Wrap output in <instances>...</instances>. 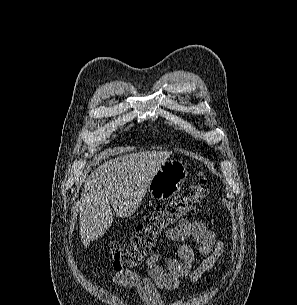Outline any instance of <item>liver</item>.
I'll list each match as a JSON object with an SVG mask.
<instances>
[{"label":"liver","mask_w":297,"mask_h":305,"mask_svg":"<svg viewBox=\"0 0 297 305\" xmlns=\"http://www.w3.org/2000/svg\"><path fill=\"white\" fill-rule=\"evenodd\" d=\"M171 152L143 151L111 159L88 177L79 206L80 238L87 248L113 222L111 205L117 215L130 217L141 204L147 187Z\"/></svg>","instance_id":"obj_1"}]
</instances>
